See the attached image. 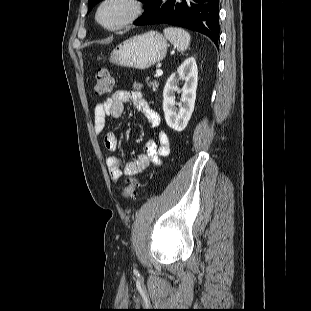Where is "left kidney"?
<instances>
[{
    "mask_svg": "<svg viewBox=\"0 0 311 311\" xmlns=\"http://www.w3.org/2000/svg\"><path fill=\"white\" fill-rule=\"evenodd\" d=\"M180 80H185L182 89L178 88ZM198 68L193 57L186 59L167 80L163 90V111L167 125L175 131L186 128L194 110ZM182 92L180 103L175 101V93ZM176 105L179 109L177 110Z\"/></svg>",
    "mask_w": 311,
    "mask_h": 311,
    "instance_id": "left-kidney-1",
    "label": "left kidney"
}]
</instances>
